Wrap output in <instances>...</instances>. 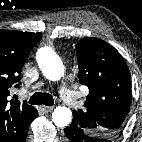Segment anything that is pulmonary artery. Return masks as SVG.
Masks as SVG:
<instances>
[{"instance_id": "pulmonary-artery-1", "label": "pulmonary artery", "mask_w": 142, "mask_h": 142, "mask_svg": "<svg viewBox=\"0 0 142 142\" xmlns=\"http://www.w3.org/2000/svg\"><path fill=\"white\" fill-rule=\"evenodd\" d=\"M60 96L65 104L70 107L78 106V101L74 98L73 93L66 86L61 87Z\"/></svg>"}]
</instances>
